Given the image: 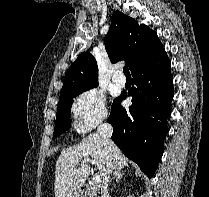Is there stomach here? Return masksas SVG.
Here are the masks:
<instances>
[{
	"mask_svg": "<svg viewBox=\"0 0 209 197\" xmlns=\"http://www.w3.org/2000/svg\"><path fill=\"white\" fill-rule=\"evenodd\" d=\"M71 197H81L79 192H75L71 195Z\"/></svg>",
	"mask_w": 209,
	"mask_h": 197,
	"instance_id": "0dacf381",
	"label": "stomach"
}]
</instances>
